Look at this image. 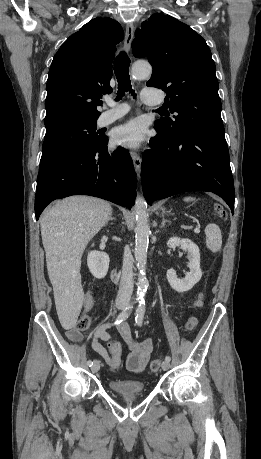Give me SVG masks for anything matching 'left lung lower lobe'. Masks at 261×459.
I'll return each instance as SVG.
<instances>
[{"label":"left lung lower lobe","instance_id":"obj_1","mask_svg":"<svg viewBox=\"0 0 261 459\" xmlns=\"http://www.w3.org/2000/svg\"><path fill=\"white\" fill-rule=\"evenodd\" d=\"M157 136L143 154L142 185L149 205L187 191H211L234 212V184L224 129H202L171 137Z\"/></svg>","mask_w":261,"mask_h":459}]
</instances>
